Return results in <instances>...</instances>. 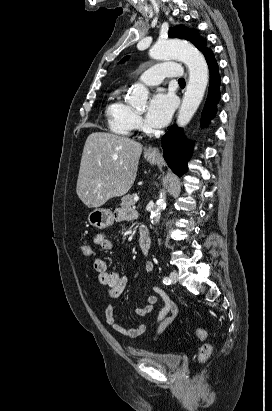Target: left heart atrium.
<instances>
[{"label": "left heart atrium", "instance_id": "39dd6f15", "mask_svg": "<svg viewBox=\"0 0 272 411\" xmlns=\"http://www.w3.org/2000/svg\"><path fill=\"white\" fill-rule=\"evenodd\" d=\"M174 98L171 94L159 91L150 99L146 111V122L154 128L165 126L174 110Z\"/></svg>", "mask_w": 272, "mask_h": 411}]
</instances>
